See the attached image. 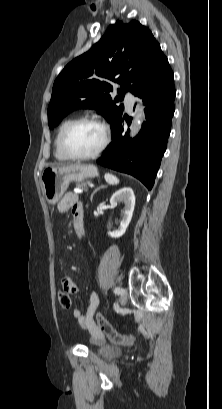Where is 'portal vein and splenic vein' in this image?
<instances>
[{
  "mask_svg": "<svg viewBox=\"0 0 222 409\" xmlns=\"http://www.w3.org/2000/svg\"><path fill=\"white\" fill-rule=\"evenodd\" d=\"M75 192H76V193H81L82 191H80V190H76Z\"/></svg>",
  "mask_w": 222,
  "mask_h": 409,
  "instance_id": "obj_1",
  "label": "portal vein and splenic vein"
}]
</instances>
